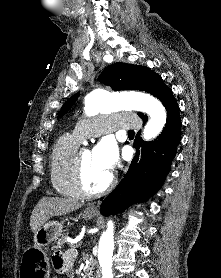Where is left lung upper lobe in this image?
Here are the masks:
<instances>
[{
  "label": "left lung upper lobe",
  "instance_id": "obj_1",
  "mask_svg": "<svg viewBox=\"0 0 221 278\" xmlns=\"http://www.w3.org/2000/svg\"><path fill=\"white\" fill-rule=\"evenodd\" d=\"M99 81L110 86L115 91L141 90L151 93L162 102L165 108L175 100L171 89L163 83L161 76L145 66L115 63L103 70L99 76ZM78 96L79 94H75L65 102L58 118L71 108ZM138 115L141 118L147 117L141 113H138Z\"/></svg>",
  "mask_w": 221,
  "mask_h": 278
}]
</instances>
